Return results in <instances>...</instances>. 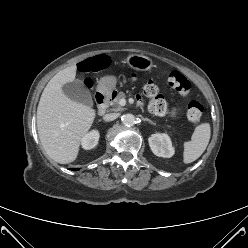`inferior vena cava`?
<instances>
[{"instance_id": "inferior-vena-cava-1", "label": "inferior vena cava", "mask_w": 248, "mask_h": 248, "mask_svg": "<svg viewBox=\"0 0 248 248\" xmlns=\"http://www.w3.org/2000/svg\"><path fill=\"white\" fill-rule=\"evenodd\" d=\"M119 115L117 113H109L103 116L104 121H113L115 120Z\"/></svg>"}]
</instances>
